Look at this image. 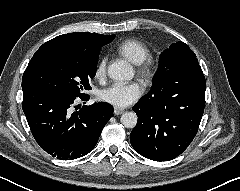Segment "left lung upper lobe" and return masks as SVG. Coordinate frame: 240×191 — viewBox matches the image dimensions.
I'll use <instances>...</instances> for the list:
<instances>
[{
  "mask_svg": "<svg viewBox=\"0 0 240 191\" xmlns=\"http://www.w3.org/2000/svg\"><path fill=\"white\" fill-rule=\"evenodd\" d=\"M203 73L195 53L183 42L172 44L160 55L159 67L153 77V88L145 97L150 98L164 89L176 86L182 76Z\"/></svg>",
  "mask_w": 240,
  "mask_h": 191,
  "instance_id": "left-lung-upper-lobe-1",
  "label": "left lung upper lobe"
}]
</instances>
